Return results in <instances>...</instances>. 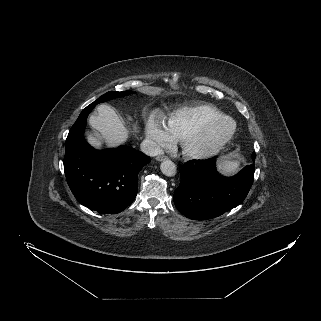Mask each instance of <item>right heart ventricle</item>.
<instances>
[{
    "instance_id": "right-heart-ventricle-1",
    "label": "right heart ventricle",
    "mask_w": 321,
    "mask_h": 321,
    "mask_svg": "<svg viewBox=\"0 0 321 321\" xmlns=\"http://www.w3.org/2000/svg\"><path fill=\"white\" fill-rule=\"evenodd\" d=\"M225 116L211 104L185 106L173 110L164 121V125L174 139L182 138L199 125L211 119Z\"/></svg>"
}]
</instances>
